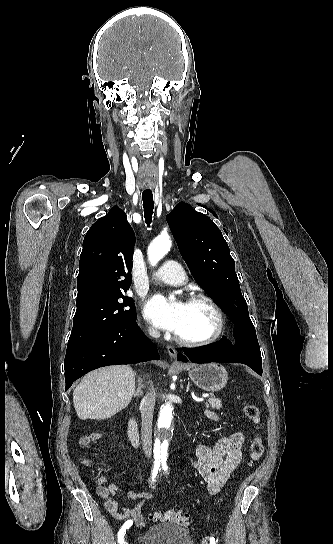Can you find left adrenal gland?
<instances>
[{"instance_id": "1", "label": "left adrenal gland", "mask_w": 333, "mask_h": 544, "mask_svg": "<svg viewBox=\"0 0 333 544\" xmlns=\"http://www.w3.org/2000/svg\"><path fill=\"white\" fill-rule=\"evenodd\" d=\"M189 387H190V383H188V385H187V391L189 390Z\"/></svg>"}]
</instances>
